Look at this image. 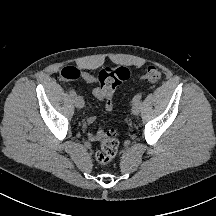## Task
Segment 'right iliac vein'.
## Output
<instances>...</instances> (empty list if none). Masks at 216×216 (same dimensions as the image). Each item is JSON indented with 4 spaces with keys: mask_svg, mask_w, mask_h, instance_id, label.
<instances>
[{
    "mask_svg": "<svg viewBox=\"0 0 216 216\" xmlns=\"http://www.w3.org/2000/svg\"><path fill=\"white\" fill-rule=\"evenodd\" d=\"M73 101H74V104L77 108H83L84 107V100L81 96H75Z\"/></svg>",
    "mask_w": 216,
    "mask_h": 216,
    "instance_id": "right-iliac-vein-1",
    "label": "right iliac vein"
}]
</instances>
